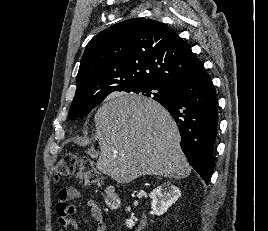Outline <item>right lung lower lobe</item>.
<instances>
[{
    "instance_id": "98d812e1",
    "label": "right lung lower lobe",
    "mask_w": 268,
    "mask_h": 231,
    "mask_svg": "<svg viewBox=\"0 0 268 231\" xmlns=\"http://www.w3.org/2000/svg\"><path fill=\"white\" fill-rule=\"evenodd\" d=\"M167 95L155 99L178 125L180 143L190 165L209 183L214 167L218 99L206 69L167 86Z\"/></svg>"
}]
</instances>
